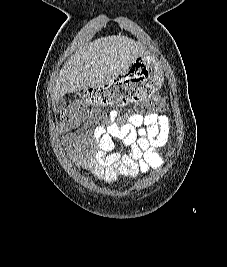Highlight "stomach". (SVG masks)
Instances as JSON below:
<instances>
[{
    "mask_svg": "<svg viewBox=\"0 0 227 267\" xmlns=\"http://www.w3.org/2000/svg\"><path fill=\"white\" fill-rule=\"evenodd\" d=\"M163 82L162 72L154 57L143 55L132 60L125 69L104 87L86 89L84 104L105 107H124L147 101V96L158 92Z\"/></svg>",
    "mask_w": 227,
    "mask_h": 267,
    "instance_id": "1",
    "label": "stomach"
}]
</instances>
